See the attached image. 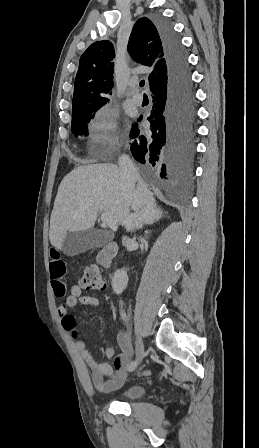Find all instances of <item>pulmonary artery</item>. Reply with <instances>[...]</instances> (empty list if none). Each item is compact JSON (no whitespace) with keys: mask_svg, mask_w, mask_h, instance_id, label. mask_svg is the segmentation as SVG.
Here are the masks:
<instances>
[{"mask_svg":"<svg viewBox=\"0 0 259 448\" xmlns=\"http://www.w3.org/2000/svg\"><path fill=\"white\" fill-rule=\"evenodd\" d=\"M131 87L132 88H138L139 87V82L137 80H134L131 83ZM130 100L134 103L140 104L142 102V97L140 95H133L131 96Z\"/></svg>","mask_w":259,"mask_h":448,"instance_id":"1","label":"pulmonary artery"}]
</instances>
